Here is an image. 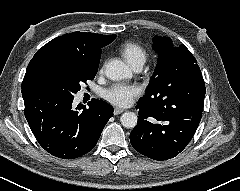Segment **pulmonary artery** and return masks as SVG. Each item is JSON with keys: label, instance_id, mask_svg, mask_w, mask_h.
<instances>
[{"label": "pulmonary artery", "instance_id": "obj_1", "mask_svg": "<svg viewBox=\"0 0 240 191\" xmlns=\"http://www.w3.org/2000/svg\"><path fill=\"white\" fill-rule=\"evenodd\" d=\"M143 64H144V62L138 61V62L133 63L131 66L135 71H140L142 69Z\"/></svg>", "mask_w": 240, "mask_h": 191}]
</instances>
